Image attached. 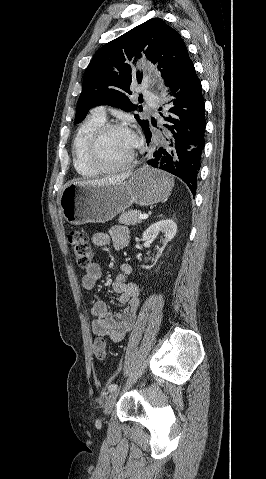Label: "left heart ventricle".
<instances>
[{
    "label": "left heart ventricle",
    "instance_id": "left-heart-ventricle-1",
    "mask_svg": "<svg viewBox=\"0 0 266 479\" xmlns=\"http://www.w3.org/2000/svg\"><path fill=\"white\" fill-rule=\"evenodd\" d=\"M135 138L124 130H113L104 135L98 147L99 160L107 166L119 165L127 160Z\"/></svg>",
    "mask_w": 266,
    "mask_h": 479
}]
</instances>
